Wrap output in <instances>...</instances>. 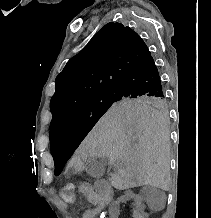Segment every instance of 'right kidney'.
<instances>
[{"label":"right kidney","instance_id":"right-kidney-1","mask_svg":"<svg viewBox=\"0 0 211 218\" xmlns=\"http://www.w3.org/2000/svg\"><path fill=\"white\" fill-rule=\"evenodd\" d=\"M126 202H129V206H132V209L126 210L127 214H131L129 218H144L142 211H145L146 207L141 206L142 202L140 201L139 193H133L131 190L120 193L118 201H115V206H110V209H108V214H111L110 218H120L121 206H126Z\"/></svg>","mask_w":211,"mask_h":218}]
</instances>
